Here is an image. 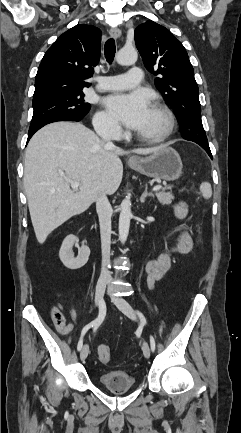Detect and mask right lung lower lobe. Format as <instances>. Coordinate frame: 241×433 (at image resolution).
I'll list each match as a JSON object with an SVG mask.
<instances>
[{"label":"right lung lower lobe","mask_w":241,"mask_h":433,"mask_svg":"<svg viewBox=\"0 0 241 433\" xmlns=\"http://www.w3.org/2000/svg\"><path fill=\"white\" fill-rule=\"evenodd\" d=\"M80 120H82V118L63 117V118H60V119L55 120V121H53V122H56V121H80ZM51 123H52V122H51ZM39 129H40V128H39ZM39 129H38V130H39ZM38 130H36V131H38ZM36 131H33V132H29V133H28L27 143H28L29 139L33 136V134H34Z\"/></svg>","instance_id":"98d812e1"}]
</instances>
